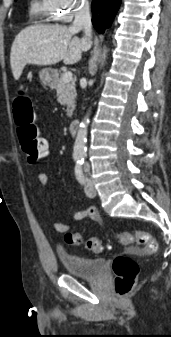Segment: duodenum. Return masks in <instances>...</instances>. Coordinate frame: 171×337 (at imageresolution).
<instances>
[{"instance_id": "obj_1", "label": "duodenum", "mask_w": 171, "mask_h": 337, "mask_svg": "<svg viewBox=\"0 0 171 337\" xmlns=\"http://www.w3.org/2000/svg\"><path fill=\"white\" fill-rule=\"evenodd\" d=\"M80 123L77 120H73L68 125V131L70 134L75 135L79 130Z\"/></svg>"}]
</instances>
